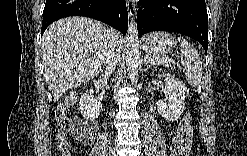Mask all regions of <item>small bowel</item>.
<instances>
[{
  "mask_svg": "<svg viewBox=\"0 0 247 156\" xmlns=\"http://www.w3.org/2000/svg\"><path fill=\"white\" fill-rule=\"evenodd\" d=\"M173 141V149H175L177 144H182L187 150L190 148L191 143H192V131L191 128L188 129V131L186 132L185 135L178 137L177 135H175L172 138Z\"/></svg>",
  "mask_w": 247,
  "mask_h": 156,
  "instance_id": "c3829d8e",
  "label": "small bowel"
}]
</instances>
